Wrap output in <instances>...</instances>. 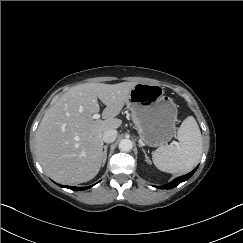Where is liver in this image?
Masks as SVG:
<instances>
[{"label":"liver","mask_w":243,"mask_h":243,"mask_svg":"<svg viewBox=\"0 0 243 243\" xmlns=\"http://www.w3.org/2000/svg\"><path fill=\"white\" fill-rule=\"evenodd\" d=\"M135 82L85 83L64 93L44 114L35 134L38 160L48 176L73 185L93 179L103 161V133L117 129L116 118ZM98 99L106 105L104 120H95Z\"/></svg>","instance_id":"6515ba94"}]
</instances>
